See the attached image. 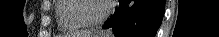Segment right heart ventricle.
Listing matches in <instances>:
<instances>
[{
  "label": "right heart ventricle",
  "mask_w": 219,
  "mask_h": 37,
  "mask_svg": "<svg viewBox=\"0 0 219 37\" xmlns=\"http://www.w3.org/2000/svg\"><path fill=\"white\" fill-rule=\"evenodd\" d=\"M76 0H58L55 3L57 24L62 32H73L84 28L74 16Z\"/></svg>",
  "instance_id": "right-heart-ventricle-1"
}]
</instances>
